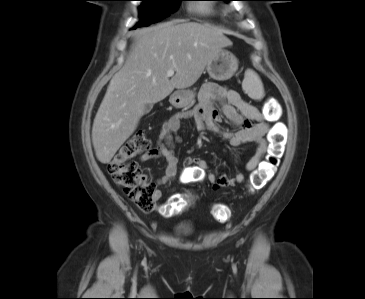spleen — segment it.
I'll use <instances>...</instances> for the list:
<instances>
[{
  "mask_svg": "<svg viewBox=\"0 0 365 299\" xmlns=\"http://www.w3.org/2000/svg\"><path fill=\"white\" fill-rule=\"evenodd\" d=\"M242 87L250 98L254 100H261L263 98V84L255 71L251 69L246 70Z\"/></svg>",
  "mask_w": 365,
  "mask_h": 299,
  "instance_id": "1",
  "label": "spleen"
}]
</instances>
